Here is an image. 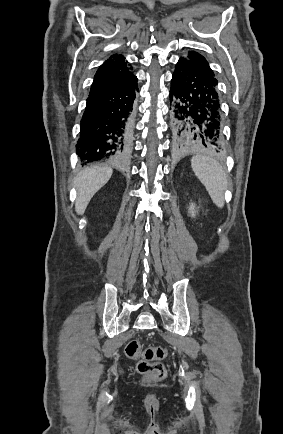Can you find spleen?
<instances>
[{"label":"spleen","instance_id":"1","mask_svg":"<svg viewBox=\"0 0 283 434\" xmlns=\"http://www.w3.org/2000/svg\"><path fill=\"white\" fill-rule=\"evenodd\" d=\"M191 167L206 187L214 204L220 208L223 207L227 179L220 164L210 157L196 155L191 159Z\"/></svg>","mask_w":283,"mask_h":434}]
</instances>
